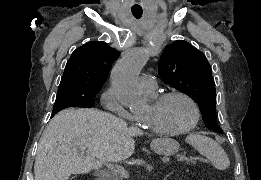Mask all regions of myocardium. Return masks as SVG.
<instances>
[{"label":"myocardium","mask_w":261,"mask_h":180,"mask_svg":"<svg viewBox=\"0 0 261 180\" xmlns=\"http://www.w3.org/2000/svg\"><path fill=\"white\" fill-rule=\"evenodd\" d=\"M173 96H179L184 98L185 100H187L190 105L193 108V118L189 124V126L179 132V133H175V134H170V135H164V136H159L157 135L149 125L143 123L141 120L136 118V123L139 127V129L142 131V133L148 137V138H164V139H182L185 136H187L190 132H192L195 127L197 126L200 117H201V110H200V106L198 104V102L188 93L181 91V90H170V91H166V92H162V93H153L148 95V98L151 102L152 106H157L160 103H162L165 99L173 97Z\"/></svg>","instance_id":"f54148a6"}]
</instances>
